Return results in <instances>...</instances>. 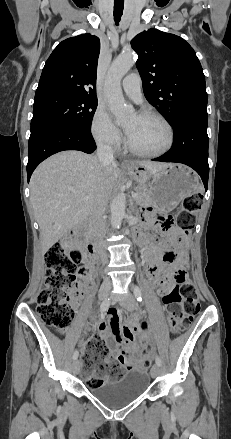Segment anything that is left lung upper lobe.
Masks as SVG:
<instances>
[{
	"label": "left lung upper lobe",
	"instance_id": "left-lung-upper-lobe-1",
	"mask_svg": "<svg viewBox=\"0 0 231 439\" xmlns=\"http://www.w3.org/2000/svg\"><path fill=\"white\" fill-rule=\"evenodd\" d=\"M145 97L174 128L193 112H207L205 76L193 48L181 37L149 29L131 41Z\"/></svg>",
	"mask_w": 231,
	"mask_h": 439
}]
</instances>
